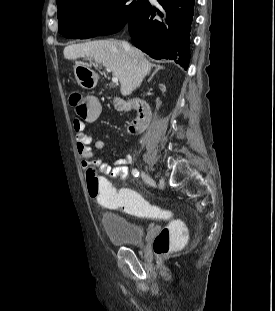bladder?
<instances>
[{"instance_id":"bladder-1","label":"bladder","mask_w":275,"mask_h":311,"mask_svg":"<svg viewBox=\"0 0 275 311\" xmlns=\"http://www.w3.org/2000/svg\"><path fill=\"white\" fill-rule=\"evenodd\" d=\"M101 225L106 236L114 245L139 246L142 242L144 235L142 227L118 213H103Z\"/></svg>"}]
</instances>
